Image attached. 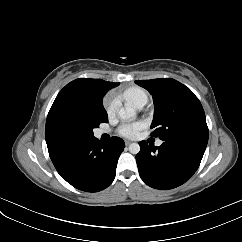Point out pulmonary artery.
Returning <instances> with one entry per match:
<instances>
[{
	"label": "pulmonary artery",
	"instance_id": "pulmonary-artery-1",
	"mask_svg": "<svg viewBox=\"0 0 242 242\" xmlns=\"http://www.w3.org/2000/svg\"><path fill=\"white\" fill-rule=\"evenodd\" d=\"M146 102H147V101H143V102H141V103L137 106V108H139V109L143 108V107L145 106ZM103 133H105V131H101L99 134H103ZM162 143H163L162 140H158V141L156 142V145H157V146H161Z\"/></svg>",
	"mask_w": 242,
	"mask_h": 242
}]
</instances>
